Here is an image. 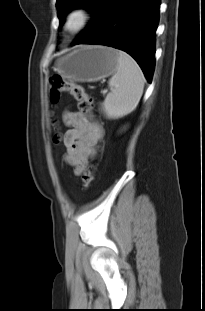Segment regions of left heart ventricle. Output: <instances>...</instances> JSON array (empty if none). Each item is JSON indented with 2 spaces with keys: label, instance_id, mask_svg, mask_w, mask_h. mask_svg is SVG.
I'll return each mask as SVG.
<instances>
[{
  "label": "left heart ventricle",
  "instance_id": "1",
  "mask_svg": "<svg viewBox=\"0 0 205 311\" xmlns=\"http://www.w3.org/2000/svg\"><path fill=\"white\" fill-rule=\"evenodd\" d=\"M76 22H77V19L75 18L74 21H73V23L75 24Z\"/></svg>",
  "mask_w": 205,
  "mask_h": 311
}]
</instances>
